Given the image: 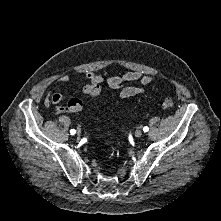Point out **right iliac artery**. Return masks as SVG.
<instances>
[{
	"instance_id": "right-iliac-artery-1",
	"label": "right iliac artery",
	"mask_w": 221,
	"mask_h": 221,
	"mask_svg": "<svg viewBox=\"0 0 221 221\" xmlns=\"http://www.w3.org/2000/svg\"><path fill=\"white\" fill-rule=\"evenodd\" d=\"M71 135H74L76 133V131L74 129L70 130Z\"/></svg>"
}]
</instances>
